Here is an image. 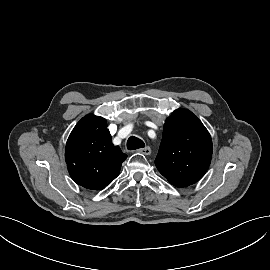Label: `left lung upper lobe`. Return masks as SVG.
Returning a JSON list of instances; mask_svg holds the SVG:
<instances>
[{
  "instance_id": "obj_1",
  "label": "left lung upper lobe",
  "mask_w": 270,
  "mask_h": 270,
  "mask_svg": "<svg viewBox=\"0 0 270 270\" xmlns=\"http://www.w3.org/2000/svg\"><path fill=\"white\" fill-rule=\"evenodd\" d=\"M212 157L209 132L191 111L179 108L165 121L155 165L176 187L200 180Z\"/></svg>"
}]
</instances>
